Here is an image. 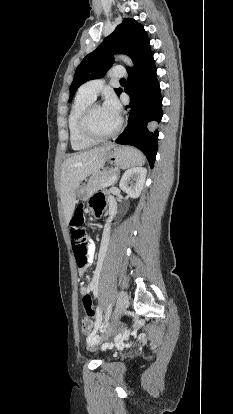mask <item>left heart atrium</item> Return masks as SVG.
Segmentation results:
<instances>
[{
	"mask_svg": "<svg viewBox=\"0 0 233 414\" xmlns=\"http://www.w3.org/2000/svg\"><path fill=\"white\" fill-rule=\"evenodd\" d=\"M110 114L119 118L120 105L114 96H109L103 106Z\"/></svg>",
	"mask_w": 233,
	"mask_h": 414,
	"instance_id": "1",
	"label": "left heart atrium"
}]
</instances>
